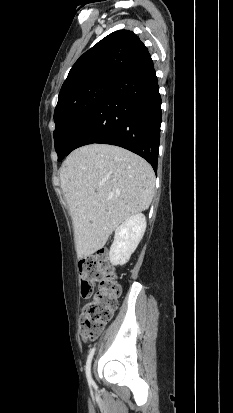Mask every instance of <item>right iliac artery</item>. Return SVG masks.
Wrapping results in <instances>:
<instances>
[{
    "label": "right iliac artery",
    "instance_id": "82829eb1",
    "mask_svg": "<svg viewBox=\"0 0 233 413\" xmlns=\"http://www.w3.org/2000/svg\"><path fill=\"white\" fill-rule=\"evenodd\" d=\"M94 352H95V347L90 350L89 355L87 357L86 366H85L86 378L90 386L94 385V381L91 376V362H92Z\"/></svg>",
    "mask_w": 233,
    "mask_h": 413
}]
</instances>
